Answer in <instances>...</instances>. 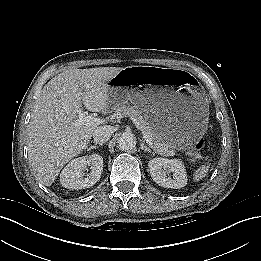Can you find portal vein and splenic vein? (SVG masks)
<instances>
[{"label": "portal vein and splenic vein", "instance_id": "1", "mask_svg": "<svg viewBox=\"0 0 261 261\" xmlns=\"http://www.w3.org/2000/svg\"><path fill=\"white\" fill-rule=\"evenodd\" d=\"M103 123H104L103 119L87 115L85 112L80 110L79 114H78V119L75 121V126H82V125H95V126H98V125H101ZM140 130H141V132L143 134V138L145 139L146 143L151 148H153V140L150 137V135L147 132H145L143 129H140Z\"/></svg>", "mask_w": 261, "mask_h": 261}]
</instances>
